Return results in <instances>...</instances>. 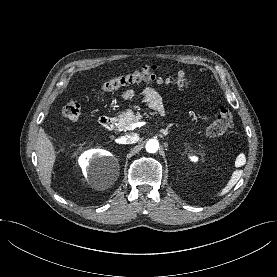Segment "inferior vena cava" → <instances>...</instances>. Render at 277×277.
Instances as JSON below:
<instances>
[{
  "label": "inferior vena cava",
  "instance_id": "1",
  "mask_svg": "<svg viewBox=\"0 0 277 277\" xmlns=\"http://www.w3.org/2000/svg\"><path fill=\"white\" fill-rule=\"evenodd\" d=\"M139 140V136L136 133L127 134L120 137V143L133 144Z\"/></svg>",
  "mask_w": 277,
  "mask_h": 277
}]
</instances>
